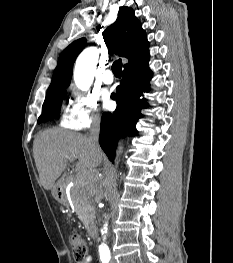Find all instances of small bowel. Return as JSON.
Returning a JSON list of instances; mask_svg holds the SVG:
<instances>
[{
    "instance_id": "obj_1",
    "label": "small bowel",
    "mask_w": 233,
    "mask_h": 263,
    "mask_svg": "<svg viewBox=\"0 0 233 263\" xmlns=\"http://www.w3.org/2000/svg\"><path fill=\"white\" fill-rule=\"evenodd\" d=\"M91 262V257L87 256L84 260H82L80 263H90Z\"/></svg>"
}]
</instances>
